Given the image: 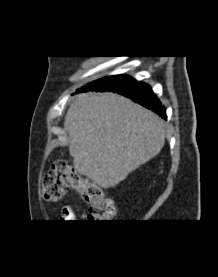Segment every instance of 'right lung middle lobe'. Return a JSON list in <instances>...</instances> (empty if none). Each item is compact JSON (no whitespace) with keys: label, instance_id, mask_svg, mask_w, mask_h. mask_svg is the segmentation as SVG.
<instances>
[{"label":"right lung middle lobe","instance_id":"right-lung-middle-lobe-1","mask_svg":"<svg viewBox=\"0 0 218 277\" xmlns=\"http://www.w3.org/2000/svg\"><path fill=\"white\" fill-rule=\"evenodd\" d=\"M103 91H113L130 87L136 83L135 79L124 75H115L100 79Z\"/></svg>","mask_w":218,"mask_h":277}]
</instances>
